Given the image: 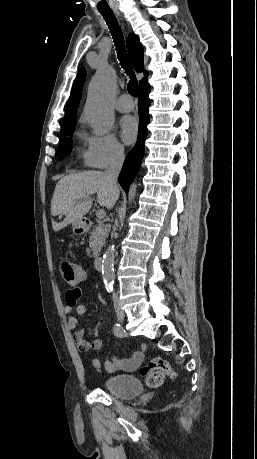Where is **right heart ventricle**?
Returning <instances> with one entry per match:
<instances>
[{"label": "right heart ventricle", "instance_id": "e07e8e85", "mask_svg": "<svg viewBox=\"0 0 257 459\" xmlns=\"http://www.w3.org/2000/svg\"><path fill=\"white\" fill-rule=\"evenodd\" d=\"M83 155H84V157H85V159H86V153H85V154H83ZM86 161H87V159H86Z\"/></svg>", "mask_w": 257, "mask_h": 459}]
</instances>
